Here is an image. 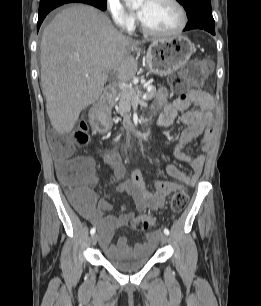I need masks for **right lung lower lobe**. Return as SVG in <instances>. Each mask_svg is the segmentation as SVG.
<instances>
[{"label":"right lung lower lobe","mask_w":261,"mask_h":306,"mask_svg":"<svg viewBox=\"0 0 261 306\" xmlns=\"http://www.w3.org/2000/svg\"><path fill=\"white\" fill-rule=\"evenodd\" d=\"M71 2H75V1H72V0H46V1H41L40 2V5H39V17H38V22H37V30H39L44 18L46 17V15L53 9H55L56 7L58 6H61L65 3H71ZM81 3H87V4H90V5H93L103 11H105V9L99 7V6H96L94 4H91V3H88L86 1H83Z\"/></svg>","instance_id":"obj_1"}]
</instances>
